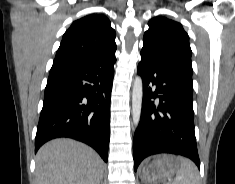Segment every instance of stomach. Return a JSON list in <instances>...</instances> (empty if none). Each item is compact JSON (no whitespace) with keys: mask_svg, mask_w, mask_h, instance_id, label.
<instances>
[{"mask_svg":"<svg viewBox=\"0 0 235 184\" xmlns=\"http://www.w3.org/2000/svg\"><path fill=\"white\" fill-rule=\"evenodd\" d=\"M179 156L160 154L152 162H145L140 168V178L145 184H159L163 180H171L179 170Z\"/></svg>","mask_w":235,"mask_h":184,"instance_id":"stomach-1","label":"stomach"}]
</instances>
